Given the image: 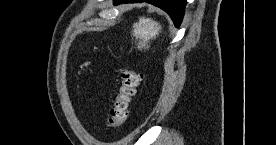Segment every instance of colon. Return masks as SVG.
<instances>
[{
	"label": "colon",
	"instance_id": "5ec220e1",
	"mask_svg": "<svg viewBox=\"0 0 276 145\" xmlns=\"http://www.w3.org/2000/svg\"><path fill=\"white\" fill-rule=\"evenodd\" d=\"M140 82V74L128 68L120 70V86L107 119L111 129L121 127L128 118L129 105L136 94Z\"/></svg>",
	"mask_w": 276,
	"mask_h": 145
}]
</instances>
